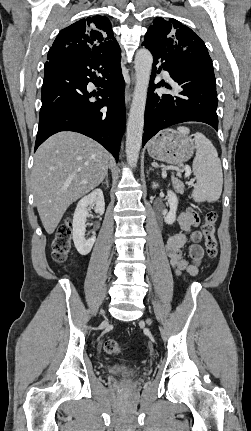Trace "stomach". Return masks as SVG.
Instances as JSON below:
<instances>
[{
  "instance_id": "0dacf381",
  "label": "stomach",
  "mask_w": 251,
  "mask_h": 431,
  "mask_svg": "<svg viewBox=\"0 0 251 431\" xmlns=\"http://www.w3.org/2000/svg\"><path fill=\"white\" fill-rule=\"evenodd\" d=\"M194 148V141L190 137L166 129L149 142L147 151L153 159L176 165L188 161Z\"/></svg>"
}]
</instances>
